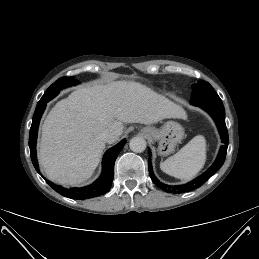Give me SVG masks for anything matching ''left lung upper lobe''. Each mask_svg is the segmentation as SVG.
Instances as JSON below:
<instances>
[{"mask_svg":"<svg viewBox=\"0 0 259 259\" xmlns=\"http://www.w3.org/2000/svg\"><path fill=\"white\" fill-rule=\"evenodd\" d=\"M192 88L193 92L190 103L193 105L222 102L212 86L204 80H200L197 84L193 85Z\"/></svg>","mask_w":259,"mask_h":259,"instance_id":"1","label":"left lung upper lobe"}]
</instances>
